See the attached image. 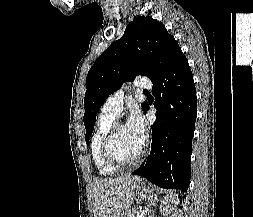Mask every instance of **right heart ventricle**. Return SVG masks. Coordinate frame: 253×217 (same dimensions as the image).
<instances>
[{
  "label": "right heart ventricle",
  "instance_id": "e07e8e85",
  "mask_svg": "<svg viewBox=\"0 0 253 217\" xmlns=\"http://www.w3.org/2000/svg\"><path fill=\"white\" fill-rule=\"evenodd\" d=\"M116 118L117 117L101 112L91 139L90 147L93 162L97 171L105 176L114 175L119 170L118 168L111 167L105 163L101 154L102 141Z\"/></svg>",
  "mask_w": 253,
  "mask_h": 217
}]
</instances>
